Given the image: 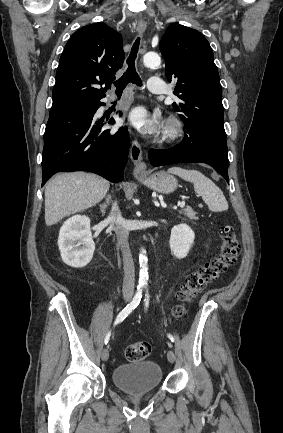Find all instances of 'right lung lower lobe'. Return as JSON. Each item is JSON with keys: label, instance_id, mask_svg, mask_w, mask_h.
Segmentation results:
<instances>
[{"label": "right lung lower lobe", "instance_id": "obj_1", "mask_svg": "<svg viewBox=\"0 0 283 433\" xmlns=\"http://www.w3.org/2000/svg\"><path fill=\"white\" fill-rule=\"evenodd\" d=\"M100 99L74 108L50 112L44 133L42 186L55 173L90 171L111 182L123 180L129 151L127 128L111 131L94 116Z\"/></svg>", "mask_w": 283, "mask_h": 433}]
</instances>
